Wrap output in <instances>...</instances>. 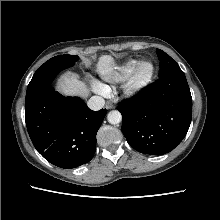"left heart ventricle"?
<instances>
[{"label": "left heart ventricle", "mask_w": 220, "mask_h": 220, "mask_svg": "<svg viewBox=\"0 0 220 220\" xmlns=\"http://www.w3.org/2000/svg\"><path fill=\"white\" fill-rule=\"evenodd\" d=\"M149 70H150L149 64H144L139 71L140 76L141 77L146 76L148 74Z\"/></svg>", "instance_id": "left-heart-ventricle-1"}]
</instances>
